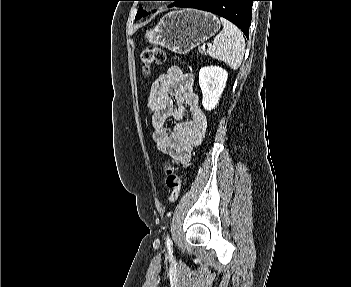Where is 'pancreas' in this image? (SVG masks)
<instances>
[{"label": "pancreas", "mask_w": 351, "mask_h": 287, "mask_svg": "<svg viewBox=\"0 0 351 287\" xmlns=\"http://www.w3.org/2000/svg\"><path fill=\"white\" fill-rule=\"evenodd\" d=\"M201 53H203L204 52V50H199Z\"/></svg>", "instance_id": "pancreas-1"}]
</instances>
